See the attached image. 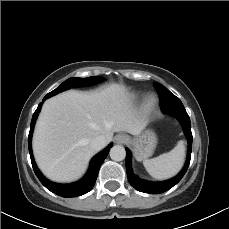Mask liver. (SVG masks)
Returning <instances> with one entry per match:
<instances>
[{
  "label": "liver",
  "instance_id": "liver-1",
  "mask_svg": "<svg viewBox=\"0 0 229 229\" xmlns=\"http://www.w3.org/2000/svg\"><path fill=\"white\" fill-rule=\"evenodd\" d=\"M146 123L134 111L122 85L90 91H66L45 101L33 136V152L41 171L56 182L78 179L95 154L91 140H112L114 132L139 135Z\"/></svg>",
  "mask_w": 229,
  "mask_h": 229
}]
</instances>
